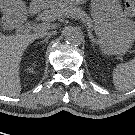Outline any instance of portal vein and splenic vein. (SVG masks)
<instances>
[{"label":"portal vein and splenic vein","mask_w":135,"mask_h":135,"mask_svg":"<svg viewBox=\"0 0 135 135\" xmlns=\"http://www.w3.org/2000/svg\"><path fill=\"white\" fill-rule=\"evenodd\" d=\"M48 28V25L47 24H44V23H41V24H38L34 29L35 31H44Z\"/></svg>","instance_id":"portal-vein-and-splenic-vein-1"}]
</instances>
